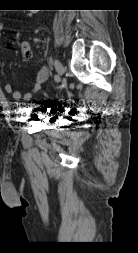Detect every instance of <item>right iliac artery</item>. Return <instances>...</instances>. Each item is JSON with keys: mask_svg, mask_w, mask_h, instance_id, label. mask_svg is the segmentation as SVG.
I'll return each instance as SVG.
<instances>
[{"mask_svg": "<svg viewBox=\"0 0 138 253\" xmlns=\"http://www.w3.org/2000/svg\"><path fill=\"white\" fill-rule=\"evenodd\" d=\"M55 80L58 81L59 80V76L56 75L55 76Z\"/></svg>", "mask_w": 138, "mask_h": 253, "instance_id": "obj_1", "label": "right iliac artery"}]
</instances>
